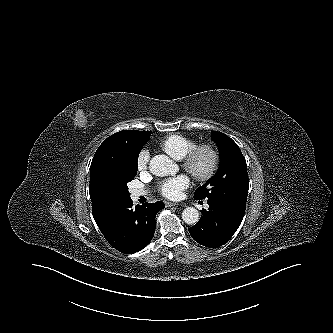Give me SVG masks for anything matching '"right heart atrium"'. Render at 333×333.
<instances>
[{"label": "right heart atrium", "mask_w": 333, "mask_h": 333, "mask_svg": "<svg viewBox=\"0 0 333 333\" xmlns=\"http://www.w3.org/2000/svg\"><path fill=\"white\" fill-rule=\"evenodd\" d=\"M149 158H150V154L148 152V150H141L137 156V169L138 171L142 172L144 170H146L147 166H148V162H149Z\"/></svg>", "instance_id": "d8ad5b80"}]
</instances>
